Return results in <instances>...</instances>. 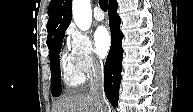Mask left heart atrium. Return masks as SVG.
<instances>
[{"mask_svg":"<svg viewBox=\"0 0 193 112\" xmlns=\"http://www.w3.org/2000/svg\"><path fill=\"white\" fill-rule=\"evenodd\" d=\"M94 43L97 55L104 58L111 46V36L105 27L100 26L97 28L94 34Z\"/></svg>","mask_w":193,"mask_h":112,"instance_id":"1","label":"left heart atrium"}]
</instances>
